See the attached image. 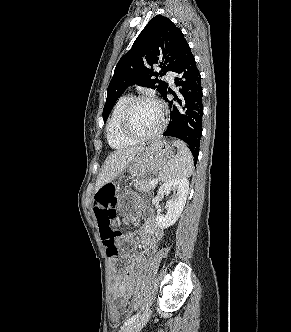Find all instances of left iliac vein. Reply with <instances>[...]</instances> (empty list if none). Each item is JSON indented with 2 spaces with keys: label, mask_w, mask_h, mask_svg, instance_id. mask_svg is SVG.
Returning <instances> with one entry per match:
<instances>
[{
  "label": "left iliac vein",
  "mask_w": 291,
  "mask_h": 332,
  "mask_svg": "<svg viewBox=\"0 0 291 332\" xmlns=\"http://www.w3.org/2000/svg\"><path fill=\"white\" fill-rule=\"evenodd\" d=\"M150 316V312L146 311L140 318L131 324L124 326L119 332H139L140 329L146 324Z\"/></svg>",
  "instance_id": "left-iliac-vein-1"
}]
</instances>
